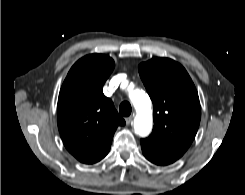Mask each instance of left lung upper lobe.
Segmentation results:
<instances>
[{"label":"left lung upper lobe","instance_id":"obj_1","mask_svg":"<svg viewBox=\"0 0 245 195\" xmlns=\"http://www.w3.org/2000/svg\"><path fill=\"white\" fill-rule=\"evenodd\" d=\"M138 69L154 107L149 137L187 150L201 119L198 93L187 71L169 58H153Z\"/></svg>","mask_w":245,"mask_h":195}]
</instances>
